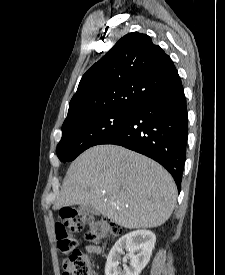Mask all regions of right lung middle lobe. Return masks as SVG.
Returning <instances> with one entry per match:
<instances>
[{"mask_svg": "<svg viewBox=\"0 0 225 275\" xmlns=\"http://www.w3.org/2000/svg\"><path fill=\"white\" fill-rule=\"evenodd\" d=\"M132 110L102 112L76 119L62 126V138L57 146L61 161H72L86 149L99 144L120 128Z\"/></svg>", "mask_w": 225, "mask_h": 275, "instance_id": "1", "label": "right lung middle lobe"}]
</instances>
